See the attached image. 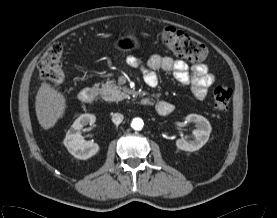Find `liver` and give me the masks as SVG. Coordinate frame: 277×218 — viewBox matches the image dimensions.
<instances>
[{
	"mask_svg": "<svg viewBox=\"0 0 277 218\" xmlns=\"http://www.w3.org/2000/svg\"><path fill=\"white\" fill-rule=\"evenodd\" d=\"M66 99L49 83L43 82L37 92L35 111L39 124L50 129L64 115Z\"/></svg>",
	"mask_w": 277,
	"mask_h": 218,
	"instance_id": "liver-1",
	"label": "liver"
}]
</instances>
